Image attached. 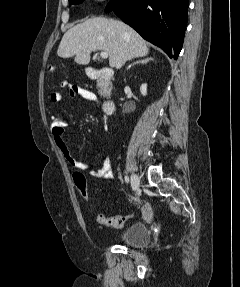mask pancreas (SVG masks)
<instances>
[{
	"mask_svg": "<svg viewBox=\"0 0 240 287\" xmlns=\"http://www.w3.org/2000/svg\"><path fill=\"white\" fill-rule=\"evenodd\" d=\"M99 94L104 95L108 90H110V87L108 86H99Z\"/></svg>",
	"mask_w": 240,
	"mask_h": 287,
	"instance_id": "cf45deb5",
	"label": "pancreas"
}]
</instances>
